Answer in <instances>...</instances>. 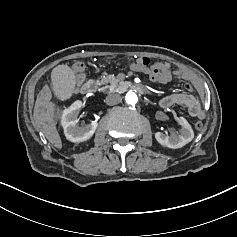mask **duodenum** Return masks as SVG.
<instances>
[{
  "label": "duodenum",
  "mask_w": 237,
  "mask_h": 237,
  "mask_svg": "<svg viewBox=\"0 0 237 237\" xmlns=\"http://www.w3.org/2000/svg\"><path fill=\"white\" fill-rule=\"evenodd\" d=\"M97 82L93 79H89L81 87V92L83 94H91L94 93L97 90ZM132 88L137 91L138 93H143L144 88L140 84H133Z\"/></svg>",
  "instance_id": "obj_1"
}]
</instances>
